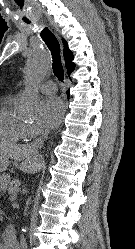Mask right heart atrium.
Segmentation results:
<instances>
[{"mask_svg":"<svg viewBox=\"0 0 135 249\" xmlns=\"http://www.w3.org/2000/svg\"><path fill=\"white\" fill-rule=\"evenodd\" d=\"M26 132V137L32 138L41 135L43 133V129L41 128V126L36 124L27 125Z\"/></svg>","mask_w":135,"mask_h":249,"instance_id":"obj_1","label":"right heart atrium"}]
</instances>
